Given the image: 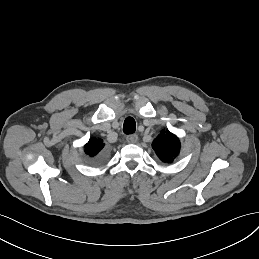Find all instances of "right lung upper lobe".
<instances>
[{
    "label": "right lung upper lobe",
    "instance_id": "1",
    "mask_svg": "<svg viewBox=\"0 0 259 259\" xmlns=\"http://www.w3.org/2000/svg\"><path fill=\"white\" fill-rule=\"evenodd\" d=\"M103 140L100 138H91L84 146V152L90 157L97 155L104 147Z\"/></svg>",
    "mask_w": 259,
    "mask_h": 259
}]
</instances>
